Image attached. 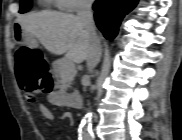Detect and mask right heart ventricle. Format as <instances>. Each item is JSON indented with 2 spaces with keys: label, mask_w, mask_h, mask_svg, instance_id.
<instances>
[{
  "label": "right heart ventricle",
  "mask_w": 182,
  "mask_h": 140,
  "mask_svg": "<svg viewBox=\"0 0 182 140\" xmlns=\"http://www.w3.org/2000/svg\"><path fill=\"white\" fill-rule=\"evenodd\" d=\"M54 4L57 5V6H59L60 5V1H58V0L57 1H54Z\"/></svg>",
  "instance_id": "right-heart-ventricle-1"
}]
</instances>
